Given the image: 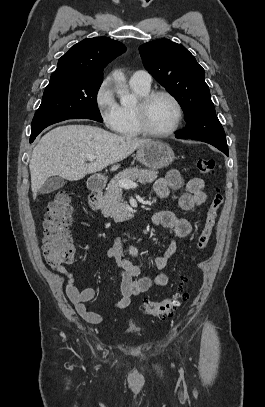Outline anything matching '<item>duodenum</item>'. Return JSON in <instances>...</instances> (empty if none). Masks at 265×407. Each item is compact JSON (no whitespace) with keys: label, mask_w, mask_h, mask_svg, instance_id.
Here are the masks:
<instances>
[{"label":"duodenum","mask_w":265,"mask_h":407,"mask_svg":"<svg viewBox=\"0 0 265 407\" xmlns=\"http://www.w3.org/2000/svg\"><path fill=\"white\" fill-rule=\"evenodd\" d=\"M103 187L104 183L97 178H91L88 181L90 190L89 204L93 209H98L99 193L103 190Z\"/></svg>","instance_id":"duodenum-1"}]
</instances>
